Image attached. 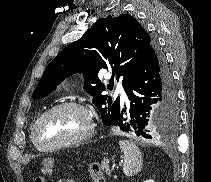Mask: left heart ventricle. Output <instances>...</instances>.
Instances as JSON below:
<instances>
[{
    "label": "left heart ventricle",
    "instance_id": "left-heart-ventricle-1",
    "mask_svg": "<svg viewBox=\"0 0 211 182\" xmlns=\"http://www.w3.org/2000/svg\"><path fill=\"white\" fill-rule=\"evenodd\" d=\"M86 125V116L81 111L74 108H62L41 121L36 137L40 145H52L80 135Z\"/></svg>",
    "mask_w": 211,
    "mask_h": 182
}]
</instances>
